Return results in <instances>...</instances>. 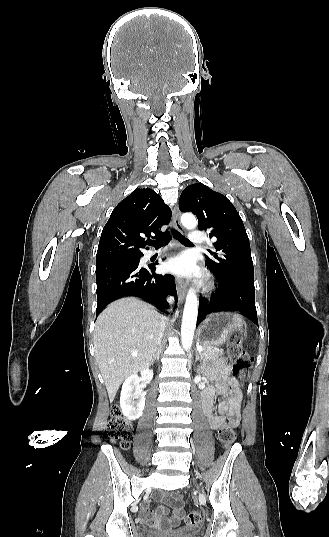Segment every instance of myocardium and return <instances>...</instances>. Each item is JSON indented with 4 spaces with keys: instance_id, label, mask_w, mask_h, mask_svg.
<instances>
[{
    "instance_id": "obj_1",
    "label": "myocardium",
    "mask_w": 329,
    "mask_h": 537,
    "mask_svg": "<svg viewBox=\"0 0 329 537\" xmlns=\"http://www.w3.org/2000/svg\"><path fill=\"white\" fill-rule=\"evenodd\" d=\"M213 286H214L213 280L208 278V279L203 283V285H202V289H203L204 291H209V290H211V289L213 288Z\"/></svg>"
}]
</instances>
